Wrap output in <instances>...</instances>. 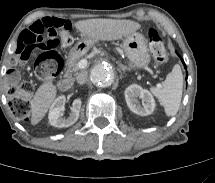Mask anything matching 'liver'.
I'll use <instances>...</instances> for the list:
<instances>
[{
  "mask_svg": "<svg viewBox=\"0 0 215 183\" xmlns=\"http://www.w3.org/2000/svg\"><path fill=\"white\" fill-rule=\"evenodd\" d=\"M84 36L95 41L118 40L135 32L141 25L131 20L89 19L74 24ZM57 94L56 86L52 81L40 85L31 101V124H38L47 113Z\"/></svg>",
  "mask_w": 215,
  "mask_h": 183,
  "instance_id": "obj_1",
  "label": "liver"
}]
</instances>
